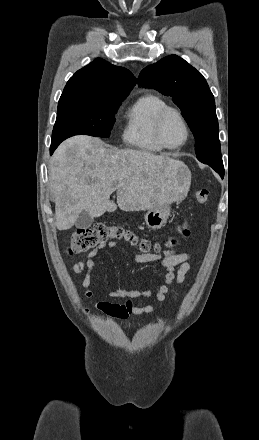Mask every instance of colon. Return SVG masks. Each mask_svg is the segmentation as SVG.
Wrapping results in <instances>:
<instances>
[{
    "label": "colon",
    "mask_w": 259,
    "mask_h": 440,
    "mask_svg": "<svg viewBox=\"0 0 259 440\" xmlns=\"http://www.w3.org/2000/svg\"><path fill=\"white\" fill-rule=\"evenodd\" d=\"M209 192L206 189L195 191L193 197L200 203L205 204L208 201ZM178 236L170 237L166 246L172 248L178 244L179 238L186 239L191 232L186 223L178 226ZM111 239H124L132 245L137 246L142 252L149 253L159 249L158 245L152 244L147 239H140L132 231L125 229L120 225H106L104 223H97L90 228L77 229L71 236V241L68 246L70 254H77L86 252L92 248L101 246Z\"/></svg>",
    "instance_id": "5ec220e1"
}]
</instances>
